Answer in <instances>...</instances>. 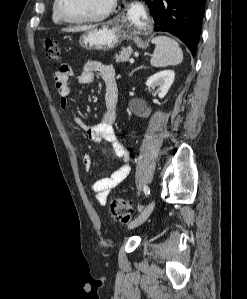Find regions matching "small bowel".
<instances>
[{
	"label": "small bowel",
	"instance_id": "c3829d8e",
	"mask_svg": "<svg viewBox=\"0 0 247 299\" xmlns=\"http://www.w3.org/2000/svg\"><path fill=\"white\" fill-rule=\"evenodd\" d=\"M74 76V71L69 65H61L54 73V81L57 93L60 96V104L63 109L68 105V96L70 94L69 80ZM96 76L102 78L105 83V110L102 114L99 124H88L80 117L74 116L72 124L86 131L90 139L98 144H111L117 154L125 161H128L129 155L121 142L117 139L112 124L116 116V107L118 103V88L115 80L114 69L101 62L90 61L84 69L77 75V81L80 84L93 83ZM82 165L86 171L92 168V159L88 153L82 154ZM129 165L123 164L108 177L94 181L91 189L95 194L96 200L100 205H105L111 191L125 180L129 173Z\"/></svg>",
	"mask_w": 247,
	"mask_h": 299
}]
</instances>
